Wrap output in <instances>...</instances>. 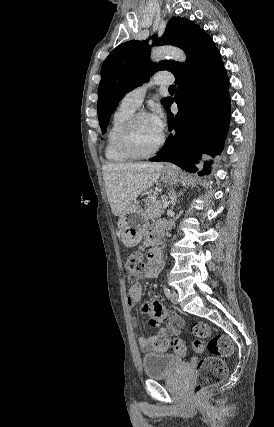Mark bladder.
Instances as JSON below:
<instances>
[{
    "label": "bladder",
    "mask_w": 274,
    "mask_h": 427,
    "mask_svg": "<svg viewBox=\"0 0 274 427\" xmlns=\"http://www.w3.org/2000/svg\"><path fill=\"white\" fill-rule=\"evenodd\" d=\"M181 364L172 353H148L142 356V366L147 379L170 376Z\"/></svg>",
    "instance_id": "obj_1"
}]
</instances>
